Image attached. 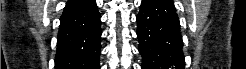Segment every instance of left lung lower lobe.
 Segmentation results:
<instances>
[{
  "instance_id": "obj_1",
  "label": "left lung lower lobe",
  "mask_w": 246,
  "mask_h": 69,
  "mask_svg": "<svg viewBox=\"0 0 246 69\" xmlns=\"http://www.w3.org/2000/svg\"><path fill=\"white\" fill-rule=\"evenodd\" d=\"M142 69H184L179 17L170 0H143L137 15Z\"/></svg>"
}]
</instances>
